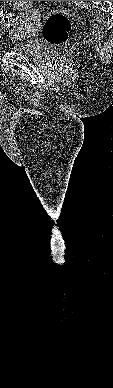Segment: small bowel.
<instances>
[{
    "mask_svg": "<svg viewBox=\"0 0 113 388\" xmlns=\"http://www.w3.org/2000/svg\"><path fill=\"white\" fill-rule=\"evenodd\" d=\"M2 1H0L1 3ZM10 3V5L14 8V9H18V10H22L25 8L26 6V1H8ZM28 16H29V13H21L19 15V18H18V21H21L22 23L27 21L28 20ZM16 26V25H15ZM16 29V27L14 28Z\"/></svg>",
    "mask_w": 113,
    "mask_h": 388,
    "instance_id": "obj_1",
    "label": "small bowel"
}]
</instances>
